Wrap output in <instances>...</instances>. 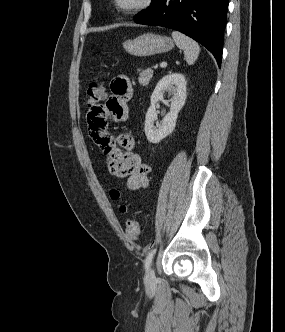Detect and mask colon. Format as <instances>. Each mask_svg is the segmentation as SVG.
<instances>
[{"mask_svg": "<svg viewBox=\"0 0 285 332\" xmlns=\"http://www.w3.org/2000/svg\"><path fill=\"white\" fill-rule=\"evenodd\" d=\"M106 97V89L102 81L95 80L91 82L86 88L87 104L90 108L99 106V104ZM110 196L113 200L121 199V191L117 188H113L110 191ZM120 212L127 213L128 208L126 205H120ZM126 235L131 240H136L140 235V223L137 219L131 218L126 223L125 228Z\"/></svg>", "mask_w": 285, "mask_h": 332, "instance_id": "colon-1", "label": "colon"}]
</instances>
